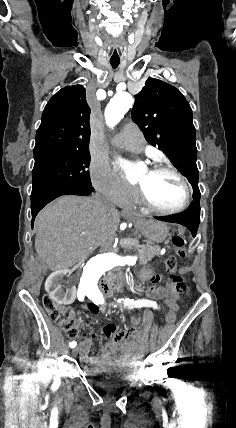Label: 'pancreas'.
<instances>
[{
	"label": "pancreas",
	"instance_id": "obj_1",
	"mask_svg": "<svg viewBox=\"0 0 236 428\" xmlns=\"http://www.w3.org/2000/svg\"><path fill=\"white\" fill-rule=\"evenodd\" d=\"M160 246H141L139 250V262L140 264H147L154 256H160Z\"/></svg>",
	"mask_w": 236,
	"mask_h": 428
}]
</instances>
